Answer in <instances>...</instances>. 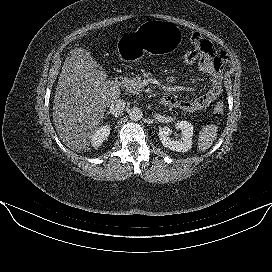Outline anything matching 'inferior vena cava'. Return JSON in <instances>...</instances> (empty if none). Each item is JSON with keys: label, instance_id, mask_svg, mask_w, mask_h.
Masks as SVG:
<instances>
[{"label": "inferior vena cava", "instance_id": "1", "mask_svg": "<svg viewBox=\"0 0 272 272\" xmlns=\"http://www.w3.org/2000/svg\"><path fill=\"white\" fill-rule=\"evenodd\" d=\"M126 102L123 99H115L110 105V113L118 115L125 110Z\"/></svg>", "mask_w": 272, "mask_h": 272}]
</instances>
